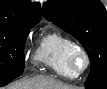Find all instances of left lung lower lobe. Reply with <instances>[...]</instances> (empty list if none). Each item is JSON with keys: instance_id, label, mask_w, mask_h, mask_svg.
<instances>
[{"instance_id": "1", "label": "left lung lower lobe", "mask_w": 107, "mask_h": 89, "mask_svg": "<svg viewBox=\"0 0 107 89\" xmlns=\"http://www.w3.org/2000/svg\"><path fill=\"white\" fill-rule=\"evenodd\" d=\"M86 89H107V79L98 81L91 85L86 86Z\"/></svg>"}]
</instances>
